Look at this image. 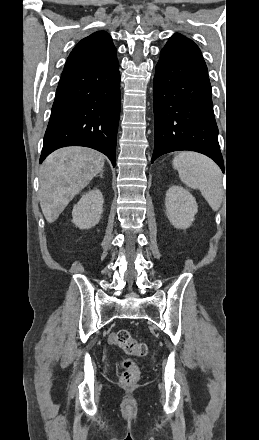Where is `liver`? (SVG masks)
<instances>
[{"label":"liver","instance_id":"obj_1","mask_svg":"<svg viewBox=\"0 0 259 440\" xmlns=\"http://www.w3.org/2000/svg\"><path fill=\"white\" fill-rule=\"evenodd\" d=\"M104 155L86 147H66L51 153L40 171V206L53 223L69 202L104 168Z\"/></svg>","mask_w":259,"mask_h":440}]
</instances>
